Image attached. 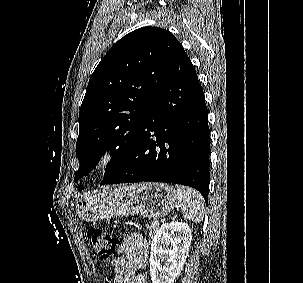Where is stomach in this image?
<instances>
[{
    "label": "stomach",
    "mask_w": 303,
    "mask_h": 283,
    "mask_svg": "<svg viewBox=\"0 0 303 283\" xmlns=\"http://www.w3.org/2000/svg\"><path fill=\"white\" fill-rule=\"evenodd\" d=\"M177 204L175 189L165 183H142L118 187L80 198L77 214L86 221L140 214L145 218L167 215Z\"/></svg>",
    "instance_id": "obj_1"
}]
</instances>
